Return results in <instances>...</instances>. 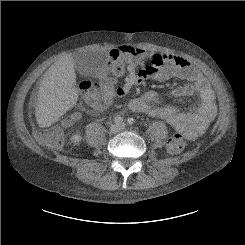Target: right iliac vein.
I'll list each match as a JSON object with an SVG mask.
<instances>
[{
  "mask_svg": "<svg viewBox=\"0 0 245 245\" xmlns=\"http://www.w3.org/2000/svg\"><path fill=\"white\" fill-rule=\"evenodd\" d=\"M119 130H120V128H119V126L116 125V124L111 125V127H110V129H109L110 133H112V134L117 133Z\"/></svg>",
  "mask_w": 245,
  "mask_h": 245,
  "instance_id": "obj_1",
  "label": "right iliac vein"
}]
</instances>
